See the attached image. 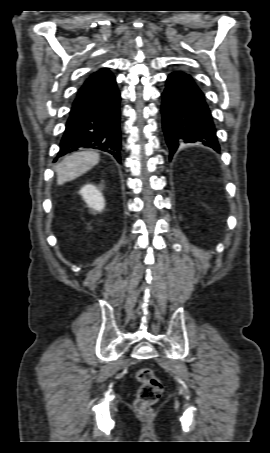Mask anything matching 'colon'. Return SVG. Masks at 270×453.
Returning a JSON list of instances; mask_svg holds the SVG:
<instances>
[{"label": "colon", "mask_w": 270, "mask_h": 453, "mask_svg": "<svg viewBox=\"0 0 270 453\" xmlns=\"http://www.w3.org/2000/svg\"><path fill=\"white\" fill-rule=\"evenodd\" d=\"M136 378L141 385L137 392L135 407L139 413L148 415L162 395L163 384L150 368H140Z\"/></svg>", "instance_id": "colon-1"}]
</instances>
